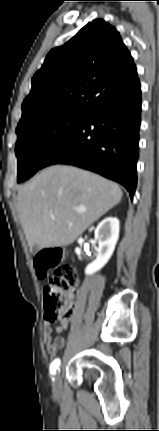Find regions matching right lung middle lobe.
<instances>
[{
  "label": "right lung middle lobe",
  "mask_w": 159,
  "mask_h": 431,
  "mask_svg": "<svg viewBox=\"0 0 159 431\" xmlns=\"http://www.w3.org/2000/svg\"><path fill=\"white\" fill-rule=\"evenodd\" d=\"M88 113L66 111L42 118L17 130L15 153L18 158V183L42 168L45 158L87 117Z\"/></svg>",
  "instance_id": "right-lung-middle-lobe-1"
}]
</instances>
